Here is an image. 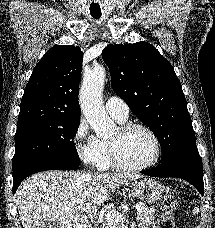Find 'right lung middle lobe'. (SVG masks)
<instances>
[{
  "label": "right lung middle lobe",
  "instance_id": "dd1d6c3e",
  "mask_svg": "<svg viewBox=\"0 0 215 228\" xmlns=\"http://www.w3.org/2000/svg\"><path fill=\"white\" fill-rule=\"evenodd\" d=\"M80 120L35 122L17 126L13 168L40 160L80 164L74 144Z\"/></svg>",
  "mask_w": 215,
  "mask_h": 228
}]
</instances>
